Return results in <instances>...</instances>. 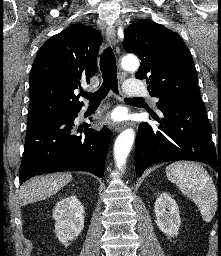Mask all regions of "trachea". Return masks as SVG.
<instances>
[{
	"instance_id": "1",
	"label": "trachea",
	"mask_w": 221,
	"mask_h": 256,
	"mask_svg": "<svg viewBox=\"0 0 221 256\" xmlns=\"http://www.w3.org/2000/svg\"><path fill=\"white\" fill-rule=\"evenodd\" d=\"M100 70L102 72L103 83L99 90L94 93L84 91L80 93L81 96L88 99L90 103L100 102L107 96L110 90L114 93H118L116 58L110 47L106 48L100 57ZM142 99L143 98H126L124 100L131 102Z\"/></svg>"
}]
</instances>
